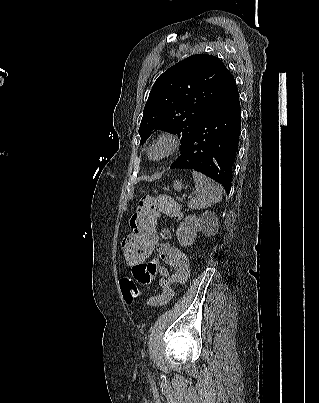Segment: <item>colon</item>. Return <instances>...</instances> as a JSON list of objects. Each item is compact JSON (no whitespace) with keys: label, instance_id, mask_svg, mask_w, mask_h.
<instances>
[{"label":"colon","instance_id":"colon-1","mask_svg":"<svg viewBox=\"0 0 319 403\" xmlns=\"http://www.w3.org/2000/svg\"><path fill=\"white\" fill-rule=\"evenodd\" d=\"M161 214L176 216L178 207L175 201L168 195L145 196L130 218V227L135 230L131 236L124 239L121 246L124 264L131 265L142 262L151 264L153 248L157 247L158 230L160 221L157 218ZM131 237V238H130ZM133 276H123L120 280V289L124 292V299L128 305H135L141 298L139 284L133 282Z\"/></svg>","mask_w":319,"mask_h":403}]
</instances>
